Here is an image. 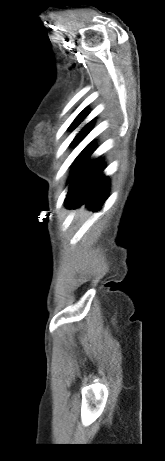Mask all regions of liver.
<instances>
[{"mask_svg":"<svg viewBox=\"0 0 165 461\" xmlns=\"http://www.w3.org/2000/svg\"><path fill=\"white\" fill-rule=\"evenodd\" d=\"M78 213L82 216L84 214V208L80 209Z\"/></svg>","mask_w":165,"mask_h":461,"instance_id":"6515ba94","label":"liver"}]
</instances>
